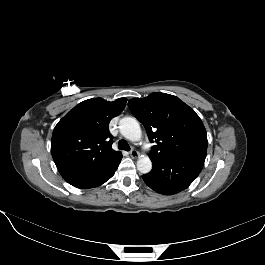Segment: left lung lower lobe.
<instances>
[{
  "instance_id": "1",
  "label": "left lung lower lobe",
  "mask_w": 265,
  "mask_h": 265,
  "mask_svg": "<svg viewBox=\"0 0 265 265\" xmlns=\"http://www.w3.org/2000/svg\"><path fill=\"white\" fill-rule=\"evenodd\" d=\"M207 150L150 158L153 169L143 175L144 182L154 191L172 195L186 189L201 172Z\"/></svg>"
}]
</instances>
